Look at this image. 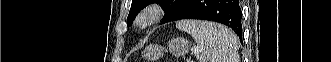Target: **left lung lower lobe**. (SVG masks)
I'll return each mask as SVG.
<instances>
[{
	"label": "left lung lower lobe",
	"instance_id": "0a47b994",
	"mask_svg": "<svg viewBox=\"0 0 331 62\" xmlns=\"http://www.w3.org/2000/svg\"><path fill=\"white\" fill-rule=\"evenodd\" d=\"M181 19L219 22L232 28L242 39V11L239 0H185L168 22Z\"/></svg>",
	"mask_w": 331,
	"mask_h": 62
}]
</instances>
